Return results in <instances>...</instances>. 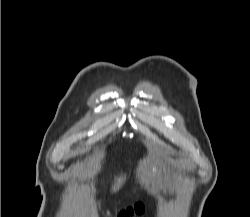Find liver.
I'll use <instances>...</instances> for the list:
<instances>
[{"label": "liver", "mask_w": 250, "mask_h": 217, "mask_svg": "<svg viewBox=\"0 0 250 217\" xmlns=\"http://www.w3.org/2000/svg\"><path fill=\"white\" fill-rule=\"evenodd\" d=\"M126 180V176H120L118 177L117 179H115V183L114 185L112 186V192H117L119 191V189L122 187V185L124 184Z\"/></svg>", "instance_id": "liver-1"}]
</instances>
